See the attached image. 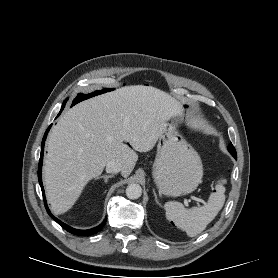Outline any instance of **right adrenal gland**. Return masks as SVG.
Returning <instances> with one entry per match:
<instances>
[{"instance_id":"right-adrenal-gland-1","label":"right adrenal gland","mask_w":278,"mask_h":278,"mask_svg":"<svg viewBox=\"0 0 278 278\" xmlns=\"http://www.w3.org/2000/svg\"><path fill=\"white\" fill-rule=\"evenodd\" d=\"M112 177H114V175L112 174V175H102V176H100V177H98L99 179L101 178H103L104 179V183H107L108 182V179L109 178H112Z\"/></svg>"}]
</instances>
